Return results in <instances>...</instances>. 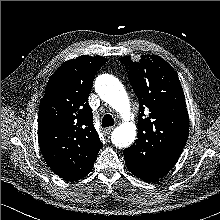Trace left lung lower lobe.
Wrapping results in <instances>:
<instances>
[{
	"label": "left lung lower lobe",
	"instance_id": "left-lung-lower-lobe-1",
	"mask_svg": "<svg viewBox=\"0 0 220 220\" xmlns=\"http://www.w3.org/2000/svg\"><path fill=\"white\" fill-rule=\"evenodd\" d=\"M124 158L129 171L138 178L146 181H156L172 169L158 163L138 161L133 156L131 147L124 150Z\"/></svg>",
	"mask_w": 220,
	"mask_h": 220
}]
</instances>
